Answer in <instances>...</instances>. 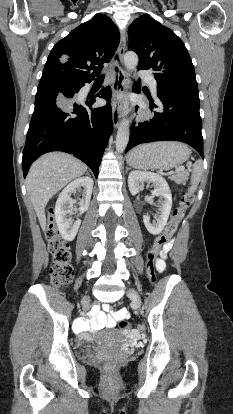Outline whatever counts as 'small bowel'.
<instances>
[{"mask_svg": "<svg viewBox=\"0 0 233 414\" xmlns=\"http://www.w3.org/2000/svg\"><path fill=\"white\" fill-rule=\"evenodd\" d=\"M171 247V243L164 247V251H168ZM156 270L163 272L166 268L164 255L155 261ZM98 301L92 302V311L90 320L80 319L76 323V330L81 333L82 338L85 339V333L87 331H98L104 328H113L116 324L128 317V312L125 308H121L117 311H113L109 304H103L99 307Z\"/></svg>", "mask_w": 233, "mask_h": 414, "instance_id": "small-bowel-1", "label": "small bowel"}]
</instances>
